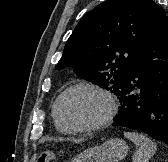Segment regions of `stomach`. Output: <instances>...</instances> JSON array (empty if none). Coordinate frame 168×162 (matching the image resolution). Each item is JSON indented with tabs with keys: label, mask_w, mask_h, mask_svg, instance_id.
Returning a JSON list of instances; mask_svg holds the SVG:
<instances>
[{
	"label": "stomach",
	"mask_w": 168,
	"mask_h": 162,
	"mask_svg": "<svg viewBox=\"0 0 168 162\" xmlns=\"http://www.w3.org/2000/svg\"><path fill=\"white\" fill-rule=\"evenodd\" d=\"M128 152L125 141L112 138L100 146L92 147L73 159L72 162H119Z\"/></svg>",
	"instance_id": "0dacf381"
}]
</instances>
